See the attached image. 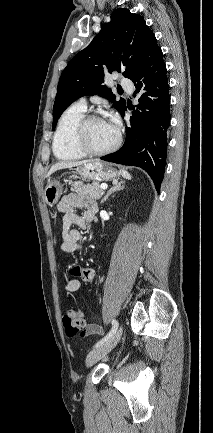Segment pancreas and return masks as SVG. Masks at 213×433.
<instances>
[{
    "mask_svg": "<svg viewBox=\"0 0 213 433\" xmlns=\"http://www.w3.org/2000/svg\"><path fill=\"white\" fill-rule=\"evenodd\" d=\"M71 190L76 192L79 196H88L95 200L100 199L104 193L97 183L83 185L73 182Z\"/></svg>",
    "mask_w": 213,
    "mask_h": 433,
    "instance_id": "cf45deb5",
    "label": "pancreas"
}]
</instances>
